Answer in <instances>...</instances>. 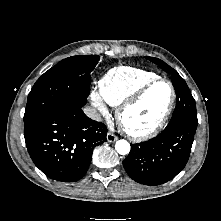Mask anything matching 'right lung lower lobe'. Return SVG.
Returning a JSON list of instances; mask_svg holds the SVG:
<instances>
[{"mask_svg": "<svg viewBox=\"0 0 221 221\" xmlns=\"http://www.w3.org/2000/svg\"><path fill=\"white\" fill-rule=\"evenodd\" d=\"M107 128L88 118L82 108L59 110L24 132L34 164L58 181H77L89 168L96 145L107 141Z\"/></svg>", "mask_w": 221, "mask_h": 221, "instance_id": "98d812e1", "label": "right lung lower lobe"}]
</instances>
